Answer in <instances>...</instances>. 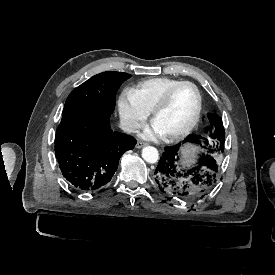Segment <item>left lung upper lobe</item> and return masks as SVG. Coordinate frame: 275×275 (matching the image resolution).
I'll return each mask as SVG.
<instances>
[{"label":"left lung upper lobe","instance_id":"1","mask_svg":"<svg viewBox=\"0 0 275 275\" xmlns=\"http://www.w3.org/2000/svg\"><path fill=\"white\" fill-rule=\"evenodd\" d=\"M208 119L210 121V130L213 131L210 132V143L212 145H209L207 148L206 154H203L200 158L201 163L204 165L214 167L215 169L218 168L217 161L215 160V156H217L220 152H223L224 149V142H225V131L222 123V119L217 116L215 113H208ZM199 139H204L206 142H208L207 138H202L201 136L190 134L186 137L184 140L185 142L190 143H200Z\"/></svg>","mask_w":275,"mask_h":275}]
</instances>
